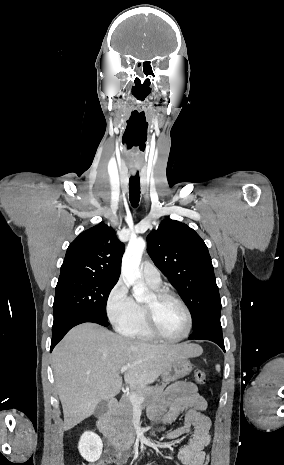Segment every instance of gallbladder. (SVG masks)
I'll return each instance as SVG.
<instances>
[{
  "instance_id": "gallbladder-1",
  "label": "gallbladder",
  "mask_w": 284,
  "mask_h": 465,
  "mask_svg": "<svg viewBox=\"0 0 284 465\" xmlns=\"http://www.w3.org/2000/svg\"><path fill=\"white\" fill-rule=\"evenodd\" d=\"M106 411H108V401H100L94 411V415L95 417H101Z\"/></svg>"
}]
</instances>
